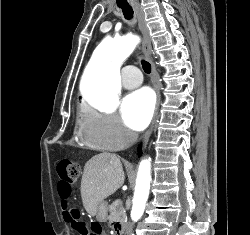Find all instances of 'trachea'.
<instances>
[{"instance_id": "1", "label": "trachea", "mask_w": 250, "mask_h": 235, "mask_svg": "<svg viewBox=\"0 0 250 235\" xmlns=\"http://www.w3.org/2000/svg\"><path fill=\"white\" fill-rule=\"evenodd\" d=\"M119 8L122 9L125 19L131 20L133 18V9L131 6L124 5V6H119ZM142 67L145 73L149 74L151 72V65L149 62L142 60Z\"/></svg>"}]
</instances>
